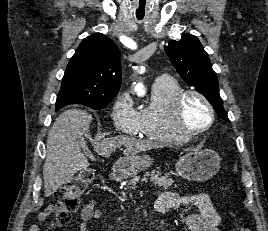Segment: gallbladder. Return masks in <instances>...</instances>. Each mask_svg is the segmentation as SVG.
I'll list each match as a JSON object with an SVG mask.
<instances>
[{"label": "gallbladder", "mask_w": 268, "mask_h": 231, "mask_svg": "<svg viewBox=\"0 0 268 231\" xmlns=\"http://www.w3.org/2000/svg\"><path fill=\"white\" fill-rule=\"evenodd\" d=\"M85 154L89 155V154H90V152H89V151H85Z\"/></svg>", "instance_id": "obj_1"}]
</instances>
